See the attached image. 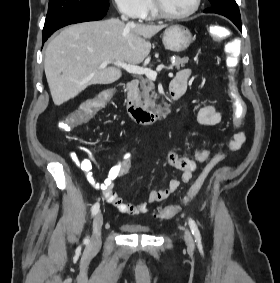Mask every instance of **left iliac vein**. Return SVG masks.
Instances as JSON below:
<instances>
[{
	"mask_svg": "<svg viewBox=\"0 0 280 283\" xmlns=\"http://www.w3.org/2000/svg\"><path fill=\"white\" fill-rule=\"evenodd\" d=\"M184 239H185L186 244L189 247L193 246V239H192V236H191V234L188 230H186L185 233H184Z\"/></svg>",
	"mask_w": 280,
	"mask_h": 283,
	"instance_id": "left-iliac-vein-1",
	"label": "left iliac vein"
}]
</instances>
